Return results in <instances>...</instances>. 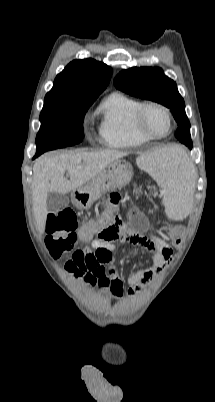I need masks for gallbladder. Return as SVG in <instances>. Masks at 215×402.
Returning a JSON list of instances; mask_svg holds the SVG:
<instances>
[{
	"instance_id": "1",
	"label": "gallbladder",
	"mask_w": 215,
	"mask_h": 402,
	"mask_svg": "<svg viewBox=\"0 0 215 402\" xmlns=\"http://www.w3.org/2000/svg\"><path fill=\"white\" fill-rule=\"evenodd\" d=\"M68 204L69 197L67 195L54 192L48 193L46 205L49 212H58Z\"/></svg>"
}]
</instances>
